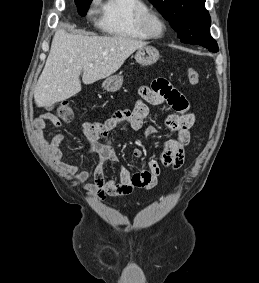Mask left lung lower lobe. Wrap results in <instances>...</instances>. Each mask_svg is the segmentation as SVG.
Masks as SVG:
<instances>
[{
    "mask_svg": "<svg viewBox=\"0 0 259 283\" xmlns=\"http://www.w3.org/2000/svg\"><path fill=\"white\" fill-rule=\"evenodd\" d=\"M201 46L209 49V51H211V52H218V50H219L216 42L212 43V44H202Z\"/></svg>",
    "mask_w": 259,
    "mask_h": 283,
    "instance_id": "1",
    "label": "left lung lower lobe"
}]
</instances>
